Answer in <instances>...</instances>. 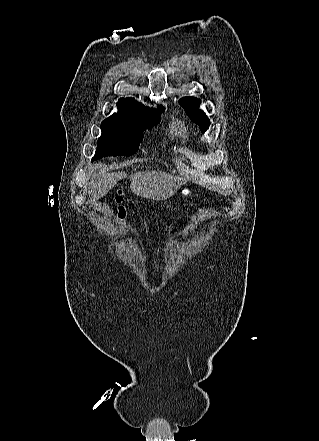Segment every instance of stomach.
Here are the masks:
<instances>
[{"label": "stomach", "instance_id": "0dacf381", "mask_svg": "<svg viewBox=\"0 0 319 441\" xmlns=\"http://www.w3.org/2000/svg\"><path fill=\"white\" fill-rule=\"evenodd\" d=\"M192 194V191L189 188H182L180 191L181 196H190Z\"/></svg>", "mask_w": 319, "mask_h": 441}]
</instances>
